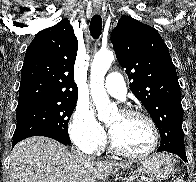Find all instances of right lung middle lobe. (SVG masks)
<instances>
[{"label": "right lung middle lobe", "mask_w": 196, "mask_h": 182, "mask_svg": "<svg viewBox=\"0 0 196 182\" xmlns=\"http://www.w3.org/2000/svg\"><path fill=\"white\" fill-rule=\"evenodd\" d=\"M77 98L37 100L18 105L13 141L35 133H53L70 144L68 122Z\"/></svg>", "instance_id": "1"}]
</instances>
